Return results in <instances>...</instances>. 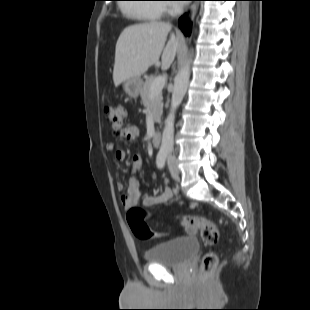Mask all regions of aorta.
I'll use <instances>...</instances> for the list:
<instances>
[{"mask_svg":"<svg viewBox=\"0 0 310 310\" xmlns=\"http://www.w3.org/2000/svg\"><path fill=\"white\" fill-rule=\"evenodd\" d=\"M191 54L185 64L179 69L175 81L171 98V106L169 114L165 121V127L162 134L161 149L170 150L174 145V121L175 113L181 104L183 97L187 91L190 71H191Z\"/></svg>","mask_w":310,"mask_h":310,"instance_id":"762f6f07","label":"aorta"}]
</instances>
